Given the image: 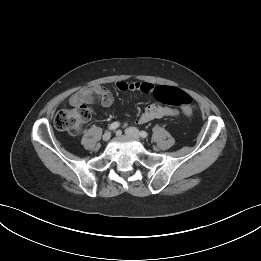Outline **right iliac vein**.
Segmentation results:
<instances>
[{"label": "right iliac vein", "instance_id": "63e3f726", "mask_svg": "<svg viewBox=\"0 0 261 261\" xmlns=\"http://www.w3.org/2000/svg\"><path fill=\"white\" fill-rule=\"evenodd\" d=\"M102 138L104 141H108L111 138V132L104 133Z\"/></svg>", "mask_w": 261, "mask_h": 261}]
</instances>
